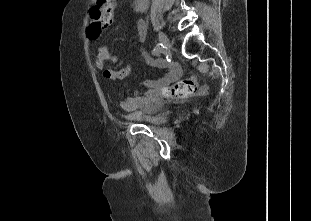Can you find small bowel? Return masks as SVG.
Masks as SVG:
<instances>
[{
  "mask_svg": "<svg viewBox=\"0 0 311 221\" xmlns=\"http://www.w3.org/2000/svg\"><path fill=\"white\" fill-rule=\"evenodd\" d=\"M145 27L143 24L138 26V33L141 38L145 35ZM104 47L105 51L101 52L100 48ZM119 56L111 54L109 46L102 44L98 47L95 59V66L102 71L103 78L108 81H119L124 79L130 72L131 65L127 64L121 68L114 69L106 67V63L116 64ZM164 80L162 78H152L143 81L140 85L144 88L143 92L135 91L132 95L124 97L120 100V106L128 111L146 107L154 100L162 88Z\"/></svg>",
  "mask_w": 311,
  "mask_h": 221,
  "instance_id": "1",
  "label": "small bowel"
}]
</instances>
